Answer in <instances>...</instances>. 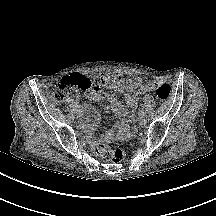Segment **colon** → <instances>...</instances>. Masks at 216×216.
I'll list each match as a JSON object with an SVG mask.
<instances>
[{
	"label": "colon",
	"instance_id": "obj_1",
	"mask_svg": "<svg viewBox=\"0 0 216 216\" xmlns=\"http://www.w3.org/2000/svg\"><path fill=\"white\" fill-rule=\"evenodd\" d=\"M104 80L97 77L93 83L90 79L80 74H72L64 77L53 90L50 98L53 102L61 104L67 99L80 94H91L94 91L102 89ZM155 95L161 100H168L172 93V88L168 84L152 82ZM97 153L102 157H110L115 163H120L125 158L123 150L113 148L108 145L100 144L96 149Z\"/></svg>",
	"mask_w": 216,
	"mask_h": 216
}]
</instances>
